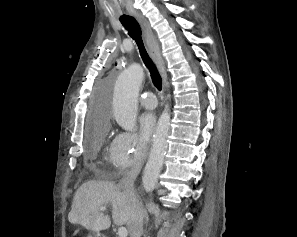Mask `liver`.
<instances>
[{
	"mask_svg": "<svg viewBox=\"0 0 297 237\" xmlns=\"http://www.w3.org/2000/svg\"><path fill=\"white\" fill-rule=\"evenodd\" d=\"M108 205L112 206L114 224L121 226L128 223L129 203L122 189L113 182L88 181L76 191L68 220L92 232L107 230L111 220L100 208Z\"/></svg>",
	"mask_w": 297,
	"mask_h": 237,
	"instance_id": "liver-1",
	"label": "liver"
}]
</instances>
